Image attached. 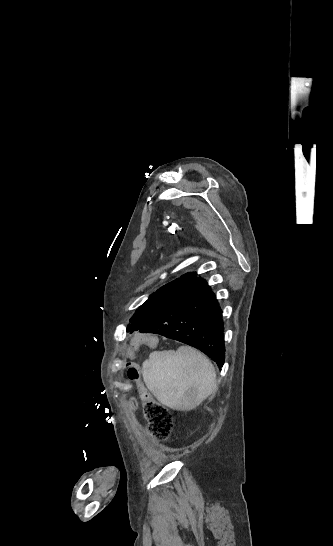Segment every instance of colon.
Returning <instances> with one entry per match:
<instances>
[{
	"instance_id": "5ec220e1",
	"label": "colon",
	"mask_w": 333,
	"mask_h": 546,
	"mask_svg": "<svg viewBox=\"0 0 333 546\" xmlns=\"http://www.w3.org/2000/svg\"><path fill=\"white\" fill-rule=\"evenodd\" d=\"M133 348H137L133 344ZM124 373L127 374L126 384L135 385L144 401L143 412L147 421V428L150 435L157 441H165L169 437L173 419L170 411L161 403L153 400L149 387L145 380L140 379V367L136 365L134 359L129 358L125 362Z\"/></svg>"
}]
</instances>
